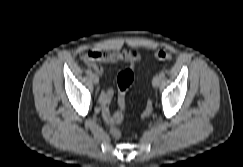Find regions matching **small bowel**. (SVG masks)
<instances>
[{"label":"small bowel","instance_id":"small-bowel-1","mask_svg":"<svg viewBox=\"0 0 243 167\" xmlns=\"http://www.w3.org/2000/svg\"><path fill=\"white\" fill-rule=\"evenodd\" d=\"M140 58L141 56L138 50L133 48L115 49L112 51L93 50L81 56L82 62L97 75H102L103 73V68L100 65L101 63L112 64L121 61L128 65L129 68L133 69L135 64L140 61ZM113 94V90L109 88H102L99 92L101 114L103 120L109 125L119 122L121 114L120 111L112 113L110 110ZM118 103L120 105L119 95Z\"/></svg>","mask_w":243,"mask_h":167}]
</instances>
